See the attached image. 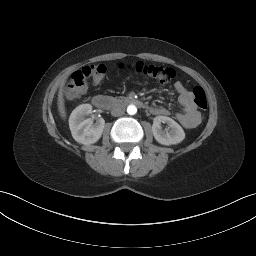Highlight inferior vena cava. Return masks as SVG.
I'll return each instance as SVG.
<instances>
[{
    "label": "inferior vena cava",
    "instance_id": "inferior-vena-cava-1",
    "mask_svg": "<svg viewBox=\"0 0 256 256\" xmlns=\"http://www.w3.org/2000/svg\"><path fill=\"white\" fill-rule=\"evenodd\" d=\"M124 114L123 109L119 108V107H115L112 109L111 111V115L114 117H118Z\"/></svg>",
    "mask_w": 256,
    "mask_h": 256
}]
</instances>
